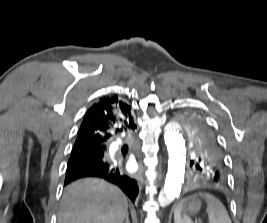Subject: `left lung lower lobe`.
Here are the masks:
<instances>
[{
  "instance_id": "0a47b994",
  "label": "left lung lower lobe",
  "mask_w": 267,
  "mask_h": 223,
  "mask_svg": "<svg viewBox=\"0 0 267 223\" xmlns=\"http://www.w3.org/2000/svg\"><path fill=\"white\" fill-rule=\"evenodd\" d=\"M190 176L195 177H185V182H192L190 189H196L197 194H214L215 190L230 187L228 171H190Z\"/></svg>"
}]
</instances>
